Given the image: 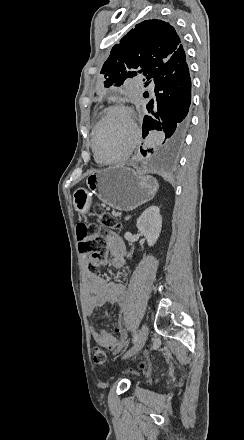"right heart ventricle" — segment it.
I'll return each mask as SVG.
<instances>
[{"instance_id":"e07e8e85","label":"right heart ventricle","mask_w":244,"mask_h":440,"mask_svg":"<svg viewBox=\"0 0 244 440\" xmlns=\"http://www.w3.org/2000/svg\"><path fill=\"white\" fill-rule=\"evenodd\" d=\"M97 129V126L94 128V130H93V134H94V131ZM100 132H102V130H100ZM93 134H92V142H93Z\"/></svg>"}]
</instances>
